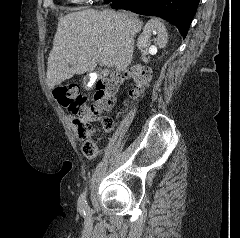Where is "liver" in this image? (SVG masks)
<instances>
[{
	"instance_id": "obj_1",
	"label": "liver",
	"mask_w": 240,
	"mask_h": 238,
	"mask_svg": "<svg viewBox=\"0 0 240 238\" xmlns=\"http://www.w3.org/2000/svg\"><path fill=\"white\" fill-rule=\"evenodd\" d=\"M141 28L137 16L127 12L86 9L60 17L47 62V87L93 71L99 52L117 71L126 70L133 59L134 36Z\"/></svg>"
}]
</instances>
